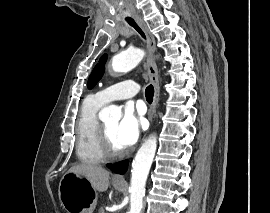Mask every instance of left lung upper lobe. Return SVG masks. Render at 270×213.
<instances>
[{
	"mask_svg": "<svg viewBox=\"0 0 270 213\" xmlns=\"http://www.w3.org/2000/svg\"><path fill=\"white\" fill-rule=\"evenodd\" d=\"M107 60V55L104 54L100 60H99V64H97L95 66V68L93 69L90 77H89V80H88V88L91 89L93 88L97 82L101 79V77L103 76V73H104V63L106 62Z\"/></svg>",
	"mask_w": 270,
	"mask_h": 213,
	"instance_id": "left-lung-upper-lobe-1",
	"label": "left lung upper lobe"
}]
</instances>
